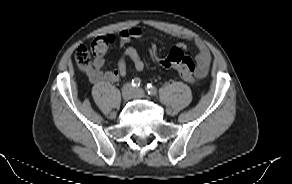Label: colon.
<instances>
[{"label": "colon", "instance_id": "1", "mask_svg": "<svg viewBox=\"0 0 292 184\" xmlns=\"http://www.w3.org/2000/svg\"><path fill=\"white\" fill-rule=\"evenodd\" d=\"M114 42V37L111 35L96 37L88 48L85 45H80L75 52V59L78 67L88 71L93 65V58L102 56ZM148 51L154 61L165 68L175 69L180 77L188 82L194 83L195 63L185 55L183 49L174 47L166 56H161L158 45L155 40L150 41Z\"/></svg>", "mask_w": 292, "mask_h": 184}]
</instances>
